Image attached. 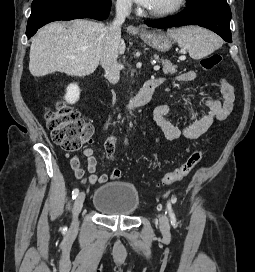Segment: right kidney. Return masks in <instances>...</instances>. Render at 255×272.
Returning a JSON list of instances; mask_svg holds the SVG:
<instances>
[{"instance_id":"1","label":"right kidney","mask_w":255,"mask_h":272,"mask_svg":"<svg viewBox=\"0 0 255 272\" xmlns=\"http://www.w3.org/2000/svg\"><path fill=\"white\" fill-rule=\"evenodd\" d=\"M80 97V89L77 84H70L67 87L65 100L70 103L74 104L79 100Z\"/></svg>"}]
</instances>
